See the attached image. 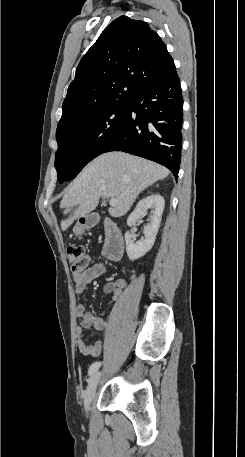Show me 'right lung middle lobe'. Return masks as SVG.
Wrapping results in <instances>:
<instances>
[{"label": "right lung middle lobe", "mask_w": 245, "mask_h": 457, "mask_svg": "<svg viewBox=\"0 0 245 457\" xmlns=\"http://www.w3.org/2000/svg\"><path fill=\"white\" fill-rule=\"evenodd\" d=\"M129 106L130 100L114 101L57 126L55 168L59 183L74 179L88 162L106 151Z\"/></svg>", "instance_id": "dd1d6c3e"}]
</instances>
